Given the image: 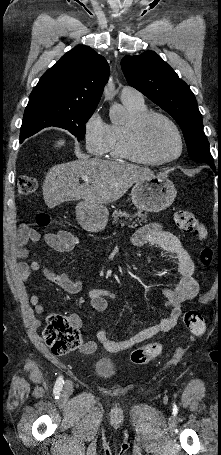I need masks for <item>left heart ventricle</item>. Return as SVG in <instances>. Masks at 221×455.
Masks as SVG:
<instances>
[{"label": "left heart ventricle", "instance_id": "left-heart-ventricle-1", "mask_svg": "<svg viewBox=\"0 0 221 455\" xmlns=\"http://www.w3.org/2000/svg\"><path fill=\"white\" fill-rule=\"evenodd\" d=\"M146 148L157 158H168L178 152V140L172 128L163 120L155 119L146 128Z\"/></svg>", "mask_w": 221, "mask_h": 455}]
</instances>
